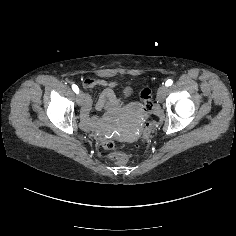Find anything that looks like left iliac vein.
Instances as JSON below:
<instances>
[{"mask_svg": "<svg viewBox=\"0 0 236 236\" xmlns=\"http://www.w3.org/2000/svg\"><path fill=\"white\" fill-rule=\"evenodd\" d=\"M168 88L165 85H161L157 90V99L162 101L166 94H167Z\"/></svg>", "mask_w": 236, "mask_h": 236, "instance_id": "obj_1", "label": "left iliac vein"}]
</instances>
